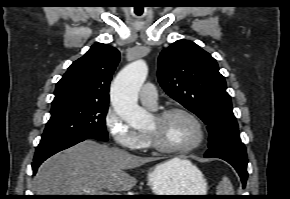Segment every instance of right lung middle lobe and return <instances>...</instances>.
<instances>
[{
  "mask_svg": "<svg viewBox=\"0 0 290 199\" xmlns=\"http://www.w3.org/2000/svg\"><path fill=\"white\" fill-rule=\"evenodd\" d=\"M108 104L74 103L51 110V118L38 146L91 137L107 141Z\"/></svg>",
  "mask_w": 290,
  "mask_h": 199,
  "instance_id": "1",
  "label": "right lung middle lobe"
}]
</instances>
